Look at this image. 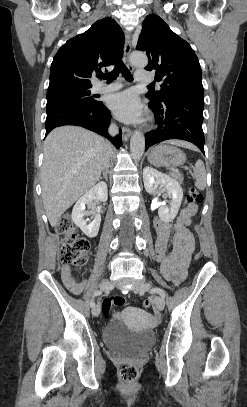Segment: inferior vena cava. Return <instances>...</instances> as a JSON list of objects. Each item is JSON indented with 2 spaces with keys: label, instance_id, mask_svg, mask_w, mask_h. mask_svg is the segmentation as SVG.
I'll return each instance as SVG.
<instances>
[{
  "label": "inferior vena cava",
  "instance_id": "inferior-vena-cava-1",
  "mask_svg": "<svg viewBox=\"0 0 247 407\" xmlns=\"http://www.w3.org/2000/svg\"><path fill=\"white\" fill-rule=\"evenodd\" d=\"M109 133H110L111 135H116V134L118 133V128H117V126L114 125V124L110 125V127H109ZM107 146H108V149L111 150L112 146H111L109 143H107ZM109 154H110V152L107 153V155H106V157H105V159H104V162H103V167H102V169L104 170V172H105V171L108 169V167H109Z\"/></svg>",
  "mask_w": 247,
  "mask_h": 407
}]
</instances>
